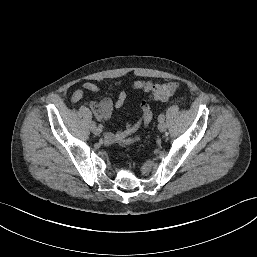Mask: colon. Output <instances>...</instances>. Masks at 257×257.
Masks as SVG:
<instances>
[{
  "label": "colon",
  "instance_id": "obj_1",
  "mask_svg": "<svg viewBox=\"0 0 257 257\" xmlns=\"http://www.w3.org/2000/svg\"><path fill=\"white\" fill-rule=\"evenodd\" d=\"M180 89V85L176 82H166L154 86L151 99L153 101H161L169 98Z\"/></svg>",
  "mask_w": 257,
  "mask_h": 257
}]
</instances>
